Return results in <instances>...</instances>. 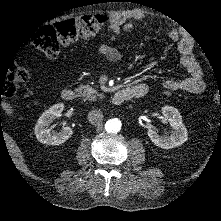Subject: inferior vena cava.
I'll use <instances>...</instances> for the list:
<instances>
[{
	"label": "inferior vena cava",
	"mask_w": 221,
	"mask_h": 221,
	"mask_svg": "<svg viewBox=\"0 0 221 221\" xmlns=\"http://www.w3.org/2000/svg\"><path fill=\"white\" fill-rule=\"evenodd\" d=\"M103 119H104L103 113L99 109L92 110L88 114V121L90 124H92L94 126L101 125L103 122Z\"/></svg>",
	"instance_id": "602c4592"
}]
</instances>
